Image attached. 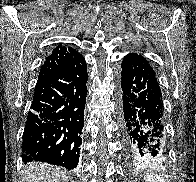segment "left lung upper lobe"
I'll return each mask as SVG.
<instances>
[{
    "label": "left lung upper lobe",
    "instance_id": "obj_1",
    "mask_svg": "<svg viewBox=\"0 0 196 182\" xmlns=\"http://www.w3.org/2000/svg\"><path fill=\"white\" fill-rule=\"evenodd\" d=\"M130 55L134 56V57H135L136 59H138V60H141V61H144V62L148 63V62L146 61V58H145V57H143V56H141V55H138L137 53H131Z\"/></svg>",
    "mask_w": 196,
    "mask_h": 182
}]
</instances>
